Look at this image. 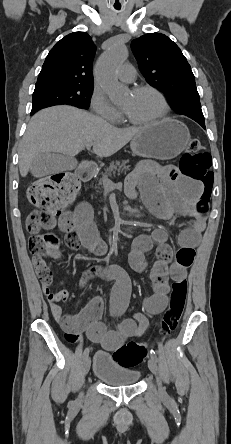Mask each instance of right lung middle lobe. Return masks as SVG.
Listing matches in <instances>:
<instances>
[{"instance_id":"right-lung-middle-lobe-1","label":"right lung middle lobe","mask_w":231,"mask_h":444,"mask_svg":"<svg viewBox=\"0 0 231 444\" xmlns=\"http://www.w3.org/2000/svg\"><path fill=\"white\" fill-rule=\"evenodd\" d=\"M92 91L93 85L48 84L36 86L31 113L61 104L87 109Z\"/></svg>"}]
</instances>
